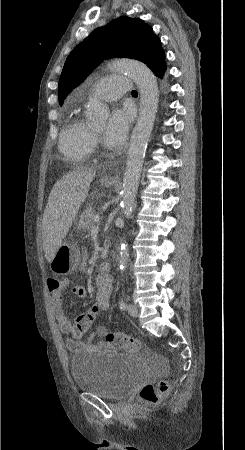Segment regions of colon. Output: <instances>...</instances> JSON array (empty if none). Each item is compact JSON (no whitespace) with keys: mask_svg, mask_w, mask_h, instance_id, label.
<instances>
[{"mask_svg":"<svg viewBox=\"0 0 245 450\" xmlns=\"http://www.w3.org/2000/svg\"><path fill=\"white\" fill-rule=\"evenodd\" d=\"M64 279L61 277H50L48 279V287L50 290H58L61 288ZM96 311H85L80 313L74 322L72 335L76 339H80L94 324ZM106 341L127 351H135L139 344L131 337L119 332H110L106 335ZM171 383L167 380L160 381L156 385H144L139 396L141 400L149 405L157 404L160 399L170 391Z\"/></svg>","mask_w":245,"mask_h":450,"instance_id":"1","label":"colon"}]
</instances>
